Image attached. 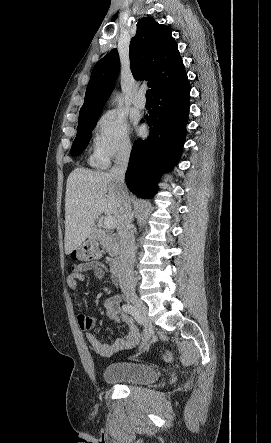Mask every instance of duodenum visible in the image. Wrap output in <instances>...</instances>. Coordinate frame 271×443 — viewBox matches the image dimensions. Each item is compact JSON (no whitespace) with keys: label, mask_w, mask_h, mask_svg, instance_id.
<instances>
[{"label":"duodenum","mask_w":271,"mask_h":443,"mask_svg":"<svg viewBox=\"0 0 271 443\" xmlns=\"http://www.w3.org/2000/svg\"><path fill=\"white\" fill-rule=\"evenodd\" d=\"M96 237L100 236V233H95ZM133 255V249L131 243L125 239L118 257L111 262L110 270L113 275L119 277L123 271L129 266Z\"/></svg>","instance_id":"410a0bca"}]
</instances>
